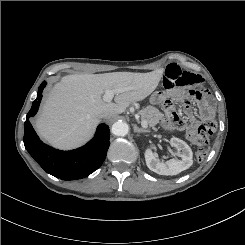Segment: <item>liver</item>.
Instances as JSON below:
<instances>
[{
  "mask_svg": "<svg viewBox=\"0 0 245 245\" xmlns=\"http://www.w3.org/2000/svg\"><path fill=\"white\" fill-rule=\"evenodd\" d=\"M164 69L148 73L113 72L64 76L50 91L35 121L40 136L59 149L84 144L100 123L101 115L123 113L133 102L144 100L158 86ZM126 89L115 103L102 99L106 90Z\"/></svg>",
  "mask_w": 245,
  "mask_h": 245,
  "instance_id": "liver-1",
  "label": "liver"
}]
</instances>
